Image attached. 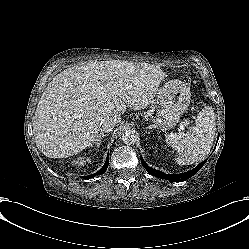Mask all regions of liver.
I'll return each instance as SVG.
<instances>
[{
  "label": "liver",
  "instance_id": "6515ba94",
  "mask_svg": "<svg viewBox=\"0 0 249 249\" xmlns=\"http://www.w3.org/2000/svg\"><path fill=\"white\" fill-rule=\"evenodd\" d=\"M162 73L128 63L91 62L60 73L44 91L33 123L37 147L65 158L92 146L101 123L146 108Z\"/></svg>",
  "mask_w": 249,
  "mask_h": 249
}]
</instances>
